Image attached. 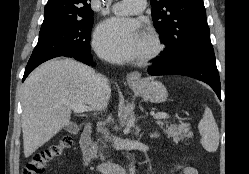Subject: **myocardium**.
Segmentation results:
<instances>
[{"instance_id":"1","label":"myocardium","mask_w":249,"mask_h":174,"mask_svg":"<svg viewBox=\"0 0 249 174\" xmlns=\"http://www.w3.org/2000/svg\"><path fill=\"white\" fill-rule=\"evenodd\" d=\"M145 34L148 37L149 47L138 55V62L141 64L147 63L158 57L165 47L160 36L154 29L146 28Z\"/></svg>"}]
</instances>
